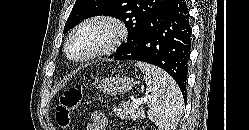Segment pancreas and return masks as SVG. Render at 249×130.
<instances>
[{
	"instance_id": "pancreas-1",
	"label": "pancreas",
	"mask_w": 249,
	"mask_h": 130,
	"mask_svg": "<svg viewBox=\"0 0 249 130\" xmlns=\"http://www.w3.org/2000/svg\"><path fill=\"white\" fill-rule=\"evenodd\" d=\"M113 112L117 117L125 120H138L145 117L142 108L130 103L118 104V106L114 107Z\"/></svg>"
}]
</instances>
